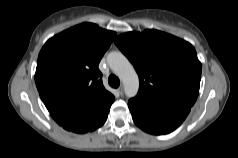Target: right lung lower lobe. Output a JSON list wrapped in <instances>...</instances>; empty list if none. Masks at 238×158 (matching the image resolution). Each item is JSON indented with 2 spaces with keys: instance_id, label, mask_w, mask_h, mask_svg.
<instances>
[{
  "instance_id": "1",
  "label": "right lung lower lobe",
  "mask_w": 238,
  "mask_h": 158,
  "mask_svg": "<svg viewBox=\"0 0 238 158\" xmlns=\"http://www.w3.org/2000/svg\"><path fill=\"white\" fill-rule=\"evenodd\" d=\"M111 104L57 109L49 111L53 119L68 131L85 133L102 126L107 119Z\"/></svg>"
}]
</instances>
